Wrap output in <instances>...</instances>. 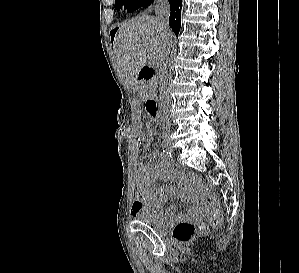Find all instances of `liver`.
<instances>
[{"instance_id":"liver-1","label":"liver","mask_w":299,"mask_h":273,"mask_svg":"<svg viewBox=\"0 0 299 273\" xmlns=\"http://www.w3.org/2000/svg\"><path fill=\"white\" fill-rule=\"evenodd\" d=\"M174 36L164 34L156 18L141 16L119 25L114 39V53L118 67L128 84L137 89V74L149 58L160 61V56Z\"/></svg>"}]
</instances>
